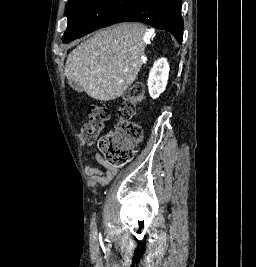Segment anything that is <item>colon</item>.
<instances>
[{"mask_svg": "<svg viewBox=\"0 0 256 267\" xmlns=\"http://www.w3.org/2000/svg\"><path fill=\"white\" fill-rule=\"evenodd\" d=\"M143 95L144 89L140 84L133 85L126 91L118 109V127L105 134L99 141V148L110 165L122 166L133 158L135 147L142 136L140 126L133 119L139 115ZM88 114L89 119L81 125L85 140L94 139L103 131L110 111L107 107L97 106L91 107Z\"/></svg>", "mask_w": 256, "mask_h": 267, "instance_id": "obj_1", "label": "colon"}]
</instances>
